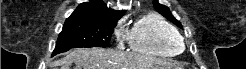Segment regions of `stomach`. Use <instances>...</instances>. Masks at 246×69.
Returning a JSON list of instances; mask_svg holds the SVG:
<instances>
[{
	"label": "stomach",
	"instance_id": "0dacf381",
	"mask_svg": "<svg viewBox=\"0 0 246 69\" xmlns=\"http://www.w3.org/2000/svg\"><path fill=\"white\" fill-rule=\"evenodd\" d=\"M148 69H182V68L170 64H155L149 67Z\"/></svg>",
	"mask_w": 246,
	"mask_h": 69
}]
</instances>
